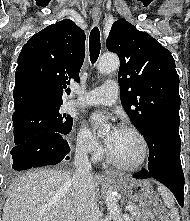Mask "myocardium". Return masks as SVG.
Segmentation results:
<instances>
[{
	"instance_id": "obj_1",
	"label": "myocardium",
	"mask_w": 190,
	"mask_h": 221,
	"mask_svg": "<svg viewBox=\"0 0 190 221\" xmlns=\"http://www.w3.org/2000/svg\"><path fill=\"white\" fill-rule=\"evenodd\" d=\"M120 129L126 130V131H130L132 133H134L138 139L141 142L142 145V155L141 158L139 159V161H137L134 164H126L123 163L121 161H119L118 159H116L112 153L109 151L107 145L105 146V156L107 158V160L112 163L113 165H115L116 167L122 169V170H126V171H136L141 169L147 162L148 159V155H149V145H148V141L145 137V135L135 126L130 125V124H123L120 126Z\"/></svg>"
}]
</instances>
